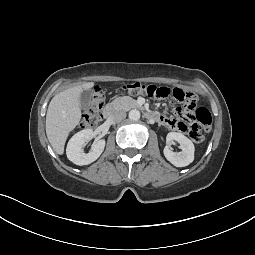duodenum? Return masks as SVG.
I'll return each mask as SVG.
<instances>
[{"label":"duodenum","instance_id":"410a0bca","mask_svg":"<svg viewBox=\"0 0 255 255\" xmlns=\"http://www.w3.org/2000/svg\"><path fill=\"white\" fill-rule=\"evenodd\" d=\"M116 108L114 106H107L104 111H103V116L106 120H111L114 118V116L116 115ZM146 117L148 119H151V120H158L159 119V115L157 112L155 111H147L146 112Z\"/></svg>","mask_w":255,"mask_h":255}]
</instances>
